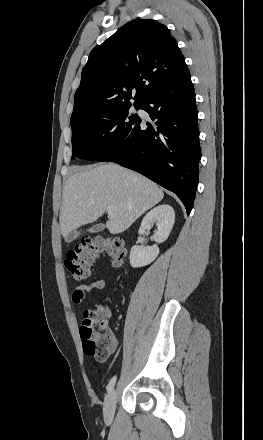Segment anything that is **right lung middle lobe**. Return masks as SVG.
I'll list each match as a JSON object with an SVG mask.
<instances>
[{
  "mask_svg": "<svg viewBox=\"0 0 263 440\" xmlns=\"http://www.w3.org/2000/svg\"><path fill=\"white\" fill-rule=\"evenodd\" d=\"M136 109L140 103H134ZM123 104L85 114L71 124L72 159L97 160L109 147L121 142L139 123Z\"/></svg>",
  "mask_w": 263,
  "mask_h": 440,
  "instance_id": "dd1d6c3e",
  "label": "right lung middle lobe"
}]
</instances>
